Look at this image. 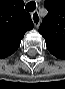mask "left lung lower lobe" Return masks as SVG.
<instances>
[{
  "instance_id": "1",
  "label": "left lung lower lobe",
  "mask_w": 65,
  "mask_h": 89,
  "mask_svg": "<svg viewBox=\"0 0 65 89\" xmlns=\"http://www.w3.org/2000/svg\"><path fill=\"white\" fill-rule=\"evenodd\" d=\"M47 49L59 59H65V45L46 42Z\"/></svg>"
}]
</instances>
